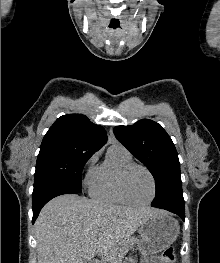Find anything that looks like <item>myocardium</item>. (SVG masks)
Returning a JSON list of instances; mask_svg holds the SVG:
<instances>
[{
	"mask_svg": "<svg viewBox=\"0 0 220 263\" xmlns=\"http://www.w3.org/2000/svg\"><path fill=\"white\" fill-rule=\"evenodd\" d=\"M136 168L144 170L148 174V176L150 177L151 182H152V194H151V197L148 200L144 201V202H136V201L132 200L130 198V196L128 195V192H127V189H126L127 177ZM118 188H119V192H120L121 196L123 197V199L128 204L135 205V206H145V205L150 204L154 200V198L156 196V193H157V183H156L155 176L153 175V173L151 172V170L149 168H147L144 165L137 164V163H131V164L125 166L121 170L120 175H119V179H118Z\"/></svg>",
	"mask_w": 220,
	"mask_h": 263,
	"instance_id": "obj_1",
	"label": "myocardium"
}]
</instances>
